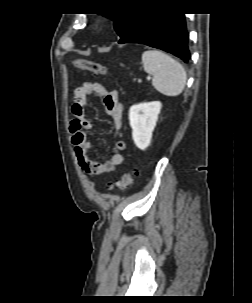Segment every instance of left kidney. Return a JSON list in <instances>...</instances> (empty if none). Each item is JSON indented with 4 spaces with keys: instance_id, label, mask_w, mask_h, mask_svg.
Returning a JSON list of instances; mask_svg holds the SVG:
<instances>
[{
    "instance_id": "1",
    "label": "left kidney",
    "mask_w": 252,
    "mask_h": 303,
    "mask_svg": "<svg viewBox=\"0 0 252 303\" xmlns=\"http://www.w3.org/2000/svg\"><path fill=\"white\" fill-rule=\"evenodd\" d=\"M161 106L159 101H152L133 105L129 110L132 138L140 150H145L150 145Z\"/></svg>"
}]
</instances>
